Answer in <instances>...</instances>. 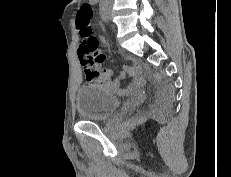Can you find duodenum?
Segmentation results:
<instances>
[{
  "mask_svg": "<svg viewBox=\"0 0 231 177\" xmlns=\"http://www.w3.org/2000/svg\"><path fill=\"white\" fill-rule=\"evenodd\" d=\"M92 1L97 2L98 0H92Z\"/></svg>",
  "mask_w": 231,
  "mask_h": 177,
  "instance_id": "obj_1",
  "label": "duodenum"
}]
</instances>
